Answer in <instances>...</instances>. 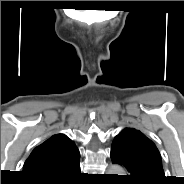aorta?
Here are the masks:
<instances>
[{
    "label": "aorta",
    "mask_w": 184,
    "mask_h": 184,
    "mask_svg": "<svg viewBox=\"0 0 184 184\" xmlns=\"http://www.w3.org/2000/svg\"><path fill=\"white\" fill-rule=\"evenodd\" d=\"M123 168L120 167L119 165H113L109 169V174H117V175H122L123 173Z\"/></svg>",
    "instance_id": "762f6f07"
}]
</instances>
